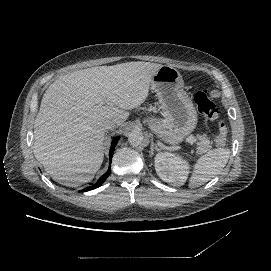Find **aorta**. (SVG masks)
I'll return each mask as SVG.
<instances>
[{
    "instance_id": "aorta-1",
    "label": "aorta",
    "mask_w": 271,
    "mask_h": 271,
    "mask_svg": "<svg viewBox=\"0 0 271 271\" xmlns=\"http://www.w3.org/2000/svg\"><path fill=\"white\" fill-rule=\"evenodd\" d=\"M144 140V135L142 131L135 130L129 133L128 141L132 146H139Z\"/></svg>"
}]
</instances>
